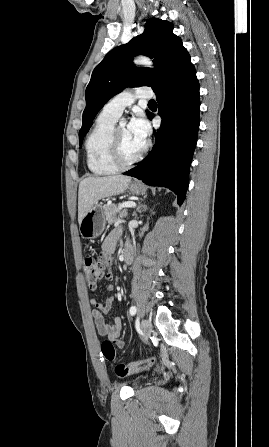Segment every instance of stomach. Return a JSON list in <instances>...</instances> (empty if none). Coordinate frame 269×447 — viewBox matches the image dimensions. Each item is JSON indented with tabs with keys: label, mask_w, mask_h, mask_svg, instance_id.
<instances>
[{
	"label": "stomach",
	"mask_w": 269,
	"mask_h": 447,
	"mask_svg": "<svg viewBox=\"0 0 269 447\" xmlns=\"http://www.w3.org/2000/svg\"><path fill=\"white\" fill-rule=\"evenodd\" d=\"M144 188L143 184H130L128 190L134 196H139ZM106 224L105 212L101 204H94L93 208L89 210L88 214L84 216L80 224V233L86 239H94L102 233Z\"/></svg>",
	"instance_id": "1"
}]
</instances>
